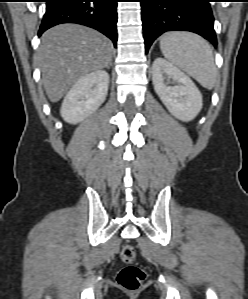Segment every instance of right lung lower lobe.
I'll list each match as a JSON object with an SVG mask.
<instances>
[{
	"label": "right lung lower lobe",
	"mask_w": 248,
	"mask_h": 299,
	"mask_svg": "<svg viewBox=\"0 0 248 299\" xmlns=\"http://www.w3.org/2000/svg\"><path fill=\"white\" fill-rule=\"evenodd\" d=\"M118 0H46L39 36L61 23H77L94 28L109 37L114 46L117 42Z\"/></svg>",
	"instance_id": "right-lung-lower-lobe-1"
}]
</instances>
